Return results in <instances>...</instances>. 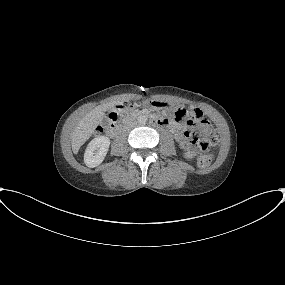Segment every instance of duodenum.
<instances>
[{
	"mask_svg": "<svg viewBox=\"0 0 285 285\" xmlns=\"http://www.w3.org/2000/svg\"><path fill=\"white\" fill-rule=\"evenodd\" d=\"M154 122L159 126H166L168 124L164 118H155ZM108 129L112 134H117L121 130V125L117 122H109Z\"/></svg>",
	"mask_w": 285,
	"mask_h": 285,
	"instance_id": "duodenum-1",
	"label": "duodenum"
}]
</instances>
